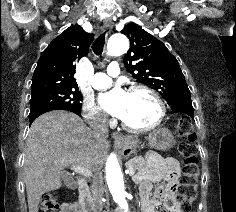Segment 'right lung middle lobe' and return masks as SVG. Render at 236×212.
Here are the masks:
<instances>
[{
  "label": "right lung middle lobe",
  "mask_w": 236,
  "mask_h": 212,
  "mask_svg": "<svg viewBox=\"0 0 236 212\" xmlns=\"http://www.w3.org/2000/svg\"><path fill=\"white\" fill-rule=\"evenodd\" d=\"M82 95L78 88L47 89L31 93L30 111L40 108H55L81 111Z\"/></svg>",
  "instance_id": "1"
}]
</instances>
